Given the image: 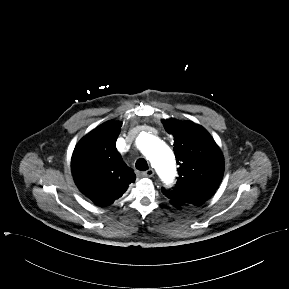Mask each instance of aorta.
I'll list each match as a JSON object with an SVG mask.
<instances>
[{
    "label": "aorta",
    "mask_w": 289,
    "mask_h": 289,
    "mask_svg": "<svg viewBox=\"0 0 289 289\" xmlns=\"http://www.w3.org/2000/svg\"><path fill=\"white\" fill-rule=\"evenodd\" d=\"M137 147L164 179L176 174L175 157L171 149L159 138L141 133L136 140Z\"/></svg>",
    "instance_id": "762f6f07"
}]
</instances>
